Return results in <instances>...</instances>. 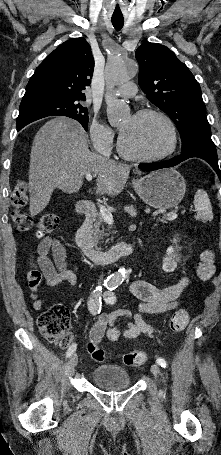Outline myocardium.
Instances as JSON below:
<instances>
[{
    "label": "myocardium",
    "mask_w": 221,
    "mask_h": 455,
    "mask_svg": "<svg viewBox=\"0 0 221 455\" xmlns=\"http://www.w3.org/2000/svg\"><path fill=\"white\" fill-rule=\"evenodd\" d=\"M148 115H155L159 117L167 126L169 133H170V145L169 147L164 150L163 152L153 154V155H137L134 153H131L127 151L123 145V141L121 138V135L118 137L117 141V150L119 154L131 161H136V162H156L160 161L170 155H172L178 145V134H177V129L172 121V119L163 111L156 109V108H143L139 111H137L133 116L134 117H143V116H148Z\"/></svg>",
    "instance_id": "1"
}]
</instances>
